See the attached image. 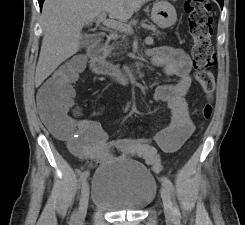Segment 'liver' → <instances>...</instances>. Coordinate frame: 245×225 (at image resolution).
I'll return each mask as SVG.
<instances>
[{"label":"liver","instance_id":"obj_1","mask_svg":"<svg viewBox=\"0 0 245 225\" xmlns=\"http://www.w3.org/2000/svg\"><path fill=\"white\" fill-rule=\"evenodd\" d=\"M149 0H45L42 8L43 40L36 67L40 85L65 60L77 53L81 31L101 13L127 21Z\"/></svg>","mask_w":245,"mask_h":225}]
</instances>
